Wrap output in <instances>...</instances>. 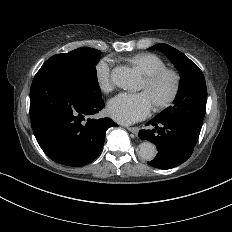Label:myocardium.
Returning a JSON list of instances; mask_svg holds the SVG:
<instances>
[{
	"label": "myocardium",
	"instance_id": "obj_1",
	"mask_svg": "<svg viewBox=\"0 0 232 232\" xmlns=\"http://www.w3.org/2000/svg\"><path fill=\"white\" fill-rule=\"evenodd\" d=\"M164 76H170L172 79V88L168 96L162 100L156 107L157 111L163 110L167 107H169L174 100L176 99L179 89H180V76L179 74L169 68H163L153 74L147 75L144 78V83H145V88L147 90L153 89L159 81L164 77Z\"/></svg>",
	"mask_w": 232,
	"mask_h": 232
}]
</instances>
